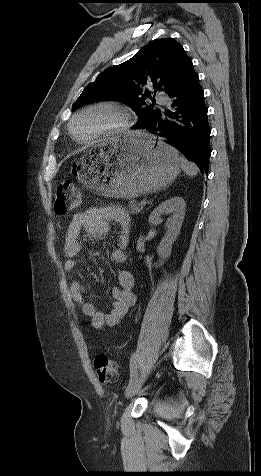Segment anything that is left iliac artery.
I'll use <instances>...</instances> for the list:
<instances>
[{"mask_svg":"<svg viewBox=\"0 0 261 476\" xmlns=\"http://www.w3.org/2000/svg\"><path fill=\"white\" fill-rule=\"evenodd\" d=\"M137 359H138V353L134 352L131 356L130 359V380L129 384L137 377L138 371H137Z\"/></svg>","mask_w":261,"mask_h":476,"instance_id":"obj_1","label":"left iliac artery"}]
</instances>
